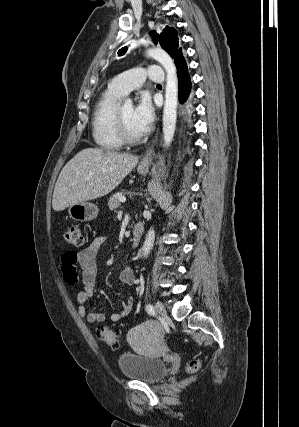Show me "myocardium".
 <instances>
[{
	"label": "myocardium",
	"instance_id": "obj_1",
	"mask_svg": "<svg viewBox=\"0 0 299 427\" xmlns=\"http://www.w3.org/2000/svg\"><path fill=\"white\" fill-rule=\"evenodd\" d=\"M121 107L122 106L119 105L115 112V125H116L118 136L120 137L123 143L135 144L140 142L143 139L144 135L143 134L132 135L128 131L123 119Z\"/></svg>",
	"mask_w": 299,
	"mask_h": 427
}]
</instances>
